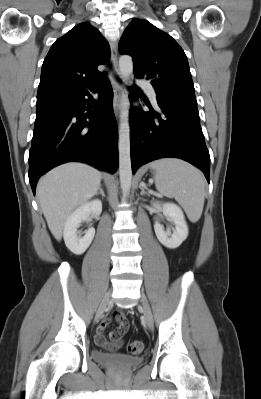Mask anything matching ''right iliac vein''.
I'll use <instances>...</instances> for the list:
<instances>
[{
    "label": "right iliac vein",
    "mask_w": 261,
    "mask_h": 399,
    "mask_svg": "<svg viewBox=\"0 0 261 399\" xmlns=\"http://www.w3.org/2000/svg\"><path fill=\"white\" fill-rule=\"evenodd\" d=\"M110 302H111V292H108L104 296V298H103V300H102V302H101V304H100V306H99V308L97 310L96 317H95L96 321H98L101 318V316L103 315L105 309L110 304Z\"/></svg>",
    "instance_id": "63e3f726"
}]
</instances>
